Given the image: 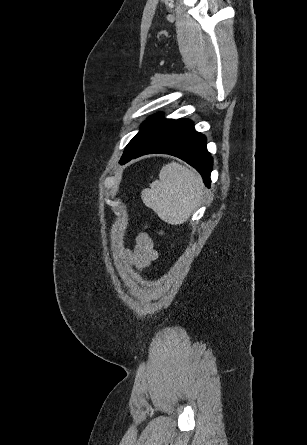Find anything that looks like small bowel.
<instances>
[{
	"instance_id": "1",
	"label": "small bowel",
	"mask_w": 307,
	"mask_h": 445,
	"mask_svg": "<svg viewBox=\"0 0 307 445\" xmlns=\"http://www.w3.org/2000/svg\"><path fill=\"white\" fill-rule=\"evenodd\" d=\"M127 255L138 270H146L158 258V251L152 239L146 233H141L136 238L134 249L129 250Z\"/></svg>"
}]
</instances>
